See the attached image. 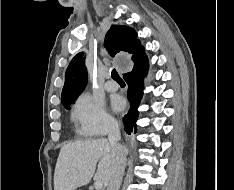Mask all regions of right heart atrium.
I'll use <instances>...</instances> for the list:
<instances>
[{
  "mask_svg": "<svg viewBox=\"0 0 234 190\" xmlns=\"http://www.w3.org/2000/svg\"><path fill=\"white\" fill-rule=\"evenodd\" d=\"M71 119L76 130L85 136H101L115 128V121L107 113L103 102L88 93L76 98Z\"/></svg>",
  "mask_w": 234,
  "mask_h": 190,
  "instance_id": "1",
  "label": "right heart atrium"
}]
</instances>
